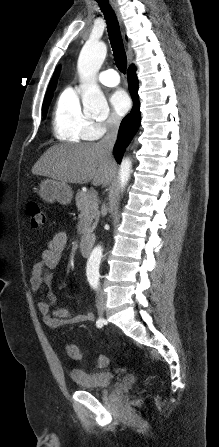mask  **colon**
<instances>
[{"instance_id": "1", "label": "colon", "mask_w": 219, "mask_h": 447, "mask_svg": "<svg viewBox=\"0 0 219 447\" xmlns=\"http://www.w3.org/2000/svg\"><path fill=\"white\" fill-rule=\"evenodd\" d=\"M27 212L30 219V225L32 228H38L40 227L44 222V213L41 207L40 203L37 202H30L27 205ZM66 352L69 357L72 359H80L82 354L79 349V347L75 344H68L66 346ZM109 361L108 358L104 355H100L97 358V364L100 367H106L108 365Z\"/></svg>"}]
</instances>
